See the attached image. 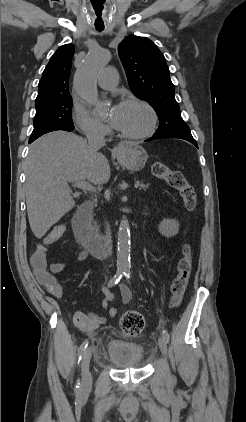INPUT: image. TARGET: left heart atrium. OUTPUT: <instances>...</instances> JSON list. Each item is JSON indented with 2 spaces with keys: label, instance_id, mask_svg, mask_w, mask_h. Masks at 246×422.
Returning a JSON list of instances; mask_svg holds the SVG:
<instances>
[{
  "label": "left heart atrium",
  "instance_id": "left-heart-atrium-1",
  "mask_svg": "<svg viewBox=\"0 0 246 422\" xmlns=\"http://www.w3.org/2000/svg\"><path fill=\"white\" fill-rule=\"evenodd\" d=\"M119 117H120V105L115 106L112 111H111V115H110V123L117 127L119 124Z\"/></svg>",
  "mask_w": 246,
  "mask_h": 422
}]
</instances>
